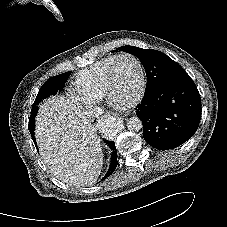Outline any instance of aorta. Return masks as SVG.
I'll use <instances>...</instances> for the list:
<instances>
[{
  "label": "aorta",
  "mask_w": 227,
  "mask_h": 227,
  "mask_svg": "<svg viewBox=\"0 0 227 227\" xmlns=\"http://www.w3.org/2000/svg\"><path fill=\"white\" fill-rule=\"evenodd\" d=\"M118 119L114 117L107 118L104 123L103 129L112 135L117 132ZM127 128L130 131H139L142 129V121L138 117H131L127 121Z\"/></svg>",
  "instance_id": "1"
}]
</instances>
